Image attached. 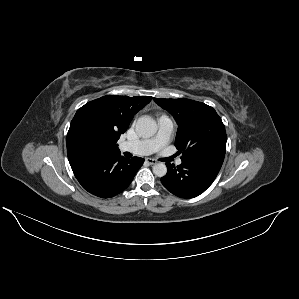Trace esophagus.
Wrapping results in <instances>:
<instances>
[{
	"label": "esophagus",
	"mask_w": 299,
	"mask_h": 299,
	"mask_svg": "<svg viewBox=\"0 0 299 299\" xmlns=\"http://www.w3.org/2000/svg\"><path fill=\"white\" fill-rule=\"evenodd\" d=\"M145 162L150 164V165H153V164H156L158 161L156 159H153V158H146Z\"/></svg>",
	"instance_id": "1"
}]
</instances>
